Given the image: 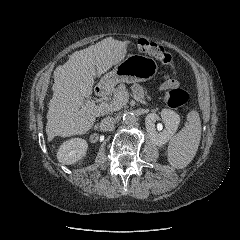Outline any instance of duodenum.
I'll return each instance as SVG.
<instances>
[{"label":"duodenum","instance_id":"duodenum-1","mask_svg":"<svg viewBox=\"0 0 240 240\" xmlns=\"http://www.w3.org/2000/svg\"><path fill=\"white\" fill-rule=\"evenodd\" d=\"M109 92V88L106 85H99L95 89V94L98 97H105Z\"/></svg>","mask_w":240,"mask_h":240}]
</instances>
